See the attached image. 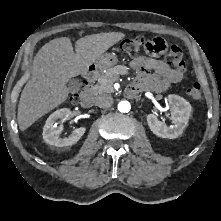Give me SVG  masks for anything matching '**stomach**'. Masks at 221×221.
Returning a JSON list of instances; mask_svg holds the SVG:
<instances>
[{
    "label": "stomach",
    "instance_id": "stomach-1",
    "mask_svg": "<svg viewBox=\"0 0 221 221\" xmlns=\"http://www.w3.org/2000/svg\"><path fill=\"white\" fill-rule=\"evenodd\" d=\"M118 62V59L115 55L110 53H105L100 58L97 59L95 65L100 70H105L115 65Z\"/></svg>",
    "mask_w": 221,
    "mask_h": 221
}]
</instances>
